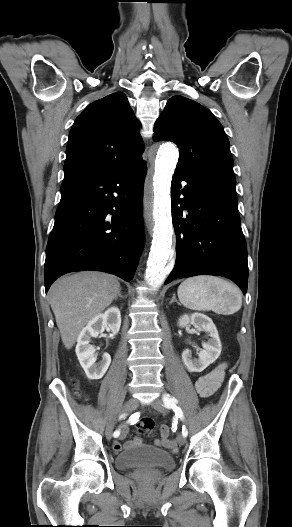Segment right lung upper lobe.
I'll use <instances>...</instances> for the list:
<instances>
[{
	"label": "right lung upper lobe",
	"mask_w": 292,
	"mask_h": 527,
	"mask_svg": "<svg viewBox=\"0 0 292 527\" xmlns=\"http://www.w3.org/2000/svg\"><path fill=\"white\" fill-rule=\"evenodd\" d=\"M144 143L126 95L112 93L89 104L69 133L64 177L108 174L142 159Z\"/></svg>",
	"instance_id": "right-lung-upper-lobe-1"
}]
</instances>
